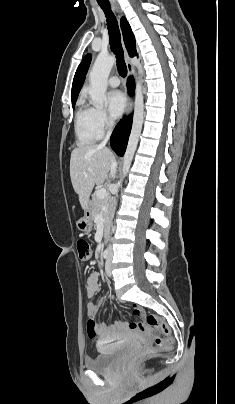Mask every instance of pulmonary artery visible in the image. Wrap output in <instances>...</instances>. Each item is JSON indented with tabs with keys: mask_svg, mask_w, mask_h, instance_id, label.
I'll use <instances>...</instances> for the list:
<instances>
[{
	"mask_svg": "<svg viewBox=\"0 0 235 404\" xmlns=\"http://www.w3.org/2000/svg\"><path fill=\"white\" fill-rule=\"evenodd\" d=\"M108 84L111 87H118L120 85V80H119V78L117 76H112V77L109 78Z\"/></svg>",
	"mask_w": 235,
	"mask_h": 404,
	"instance_id": "1",
	"label": "pulmonary artery"
}]
</instances>
